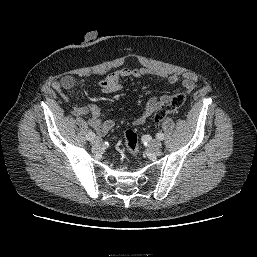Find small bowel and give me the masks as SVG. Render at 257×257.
Wrapping results in <instances>:
<instances>
[{"mask_svg": "<svg viewBox=\"0 0 257 257\" xmlns=\"http://www.w3.org/2000/svg\"><path fill=\"white\" fill-rule=\"evenodd\" d=\"M145 75H155L162 79H166L169 83L175 84L181 82L184 93L188 94L196 88V76L192 73H185L182 76L170 74L164 70H158L146 67L121 68L107 75L99 82L104 93H115L121 90V80L126 77L140 78ZM74 78L72 76H64L58 82L53 83V88L61 92H73ZM170 99L169 95L153 96L146 103L142 115L135 120L136 125L143 124L146 119L151 116L157 109L167 103ZM74 114L78 117L90 116L89 125L99 134H106L115 125L113 120L102 119L101 109L96 104L80 105L75 108Z\"/></svg>", "mask_w": 257, "mask_h": 257, "instance_id": "1", "label": "small bowel"}]
</instances>
